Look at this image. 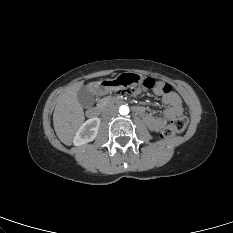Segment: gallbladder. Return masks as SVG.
Here are the masks:
<instances>
[{"label": "gallbladder", "instance_id": "obj_1", "mask_svg": "<svg viewBox=\"0 0 233 233\" xmlns=\"http://www.w3.org/2000/svg\"><path fill=\"white\" fill-rule=\"evenodd\" d=\"M77 99L82 107L90 108L93 106L95 98L94 94L88 86H82L77 92Z\"/></svg>", "mask_w": 233, "mask_h": 233}]
</instances>
